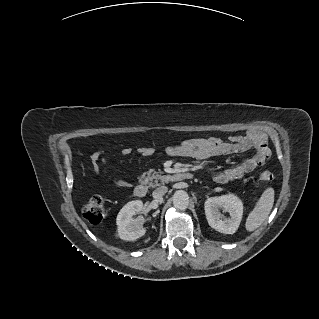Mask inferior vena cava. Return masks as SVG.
Here are the masks:
<instances>
[{
    "label": "inferior vena cava",
    "instance_id": "obj_1",
    "mask_svg": "<svg viewBox=\"0 0 319 319\" xmlns=\"http://www.w3.org/2000/svg\"><path fill=\"white\" fill-rule=\"evenodd\" d=\"M168 191V188L166 186H160L157 189H155L152 193V196L154 199L158 200L162 198Z\"/></svg>",
    "mask_w": 319,
    "mask_h": 319
}]
</instances>
